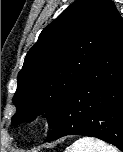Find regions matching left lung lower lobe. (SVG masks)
Masks as SVG:
<instances>
[{"label": "left lung lower lobe", "mask_w": 123, "mask_h": 152, "mask_svg": "<svg viewBox=\"0 0 123 152\" xmlns=\"http://www.w3.org/2000/svg\"><path fill=\"white\" fill-rule=\"evenodd\" d=\"M66 135L96 137L123 151V21L62 101L45 142Z\"/></svg>", "instance_id": "1"}]
</instances>
